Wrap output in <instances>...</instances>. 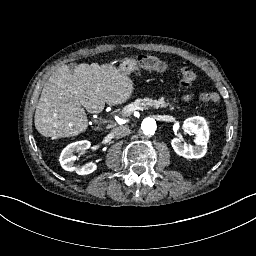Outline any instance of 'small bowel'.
<instances>
[{"instance_id":"c3829d8e","label":"small bowel","mask_w":256,"mask_h":256,"mask_svg":"<svg viewBox=\"0 0 256 256\" xmlns=\"http://www.w3.org/2000/svg\"><path fill=\"white\" fill-rule=\"evenodd\" d=\"M193 98V93L192 92H188L186 94L183 95L182 99L185 102L190 101Z\"/></svg>"}]
</instances>
